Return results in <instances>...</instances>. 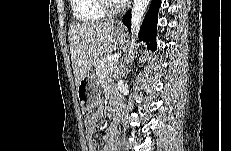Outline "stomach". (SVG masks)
I'll use <instances>...</instances> for the list:
<instances>
[{"mask_svg":"<svg viewBox=\"0 0 231 151\" xmlns=\"http://www.w3.org/2000/svg\"><path fill=\"white\" fill-rule=\"evenodd\" d=\"M125 34L122 29L114 30V40L123 43ZM101 96L100 82L97 78L95 62L77 86V97L83 110L91 111L99 102Z\"/></svg>","mask_w":231,"mask_h":151,"instance_id":"1","label":"stomach"}]
</instances>
